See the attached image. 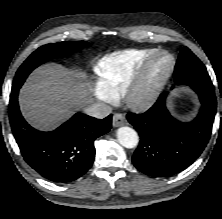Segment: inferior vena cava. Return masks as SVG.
Here are the masks:
<instances>
[{"label":"inferior vena cava","instance_id":"obj_1","mask_svg":"<svg viewBox=\"0 0 222 219\" xmlns=\"http://www.w3.org/2000/svg\"><path fill=\"white\" fill-rule=\"evenodd\" d=\"M85 113L95 118H105L112 113V108L103 103H95L85 108Z\"/></svg>","mask_w":222,"mask_h":219}]
</instances>
